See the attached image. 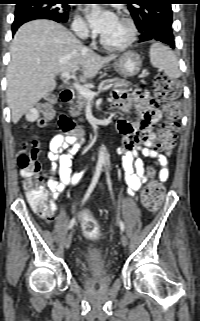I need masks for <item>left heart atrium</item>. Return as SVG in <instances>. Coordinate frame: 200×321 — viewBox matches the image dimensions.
Wrapping results in <instances>:
<instances>
[{
	"label": "left heart atrium",
	"mask_w": 200,
	"mask_h": 321,
	"mask_svg": "<svg viewBox=\"0 0 200 321\" xmlns=\"http://www.w3.org/2000/svg\"><path fill=\"white\" fill-rule=\"evenodd\" d=\"M86 16L91 27L101 35L106 33L117 20L112 11L96 6L87 8Z\"/></svg>",
	"instance_id": "obj_1"
}]
</instances>
